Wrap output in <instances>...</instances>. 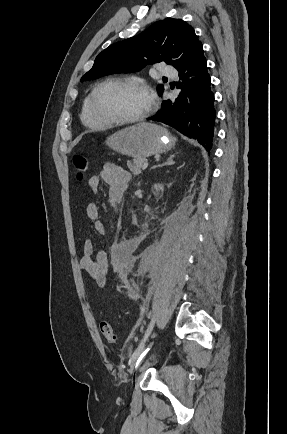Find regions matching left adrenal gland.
Masks as SVG:
<instances>
[{
  "label": "left adrenal gland",
  "instance_id": "left-adrenal-gland-1",
  "mask_svg": "<svg viewBox=\"0 0 287 434\" xmlns=\"http://www.w3.org/2000/svg\"><path fill=\"white\" fill-rule=\"evenodd\" d=\"M174 156H175V154L170 155V157L167 159V161L165 163H163L162 165H159L158 167H162L165 165H173L174 164V161H173Z\"/></svg>",
  "mask_w": 287,
  "mask_h": 434
}]
</instances>
